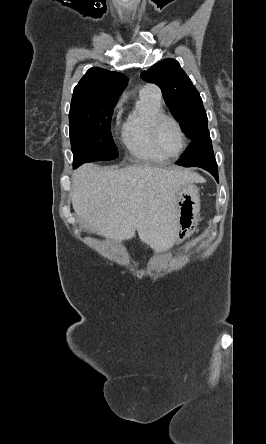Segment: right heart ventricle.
Segmentation results:
<instances>
[{
  "label": "right heart ventricle",
  "instance_id": "obj_1",
  "mask_svg": "<svg viewBox=\"0 0 266 444\" xmlns=\"http://www.w3.org/2000/svg\"><path fill=\"white\" fill-rule=\"evenodd\" d=\"M162 113L164 110L160 97L140 92L122 128V142L136 159L143 161L166 159L154 148L150 135L152 120Z\"/></svg>",
  "mask_w": 266,
  "mask_h": 444
}]
</instances>
